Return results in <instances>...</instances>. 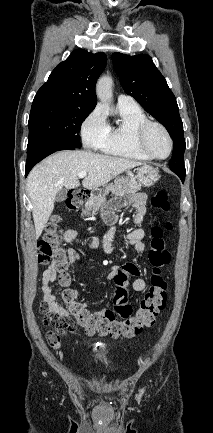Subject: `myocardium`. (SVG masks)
<instances>
[{
  "mask_svg": "<svg viewBox=\"0 0 213 433\" xmlns=\"http://www.w3.org/2000/svg\"><path fill=\"white\" fill-rule=\"evenodd\" d=\"M153 127L159 128L166 135L169 141V152L166 156L156 155L150 150V148L147 145V135L149 130ZM134 137L138 149L152 159L164 160L167 159L173 152L174 140L172 138V135L170 134L169 130L160 122L152 121V120H146L142 122L136 128Z\"/></svg>",
  "mask_w": 213,
  "mask_h": 433,
  "instance_id": "myocardium-1",
  "label": "myocardium"
}]
</instances>
